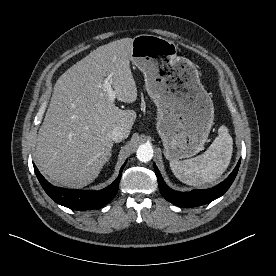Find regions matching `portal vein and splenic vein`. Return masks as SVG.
<instances>
[{"mask_svg":"<svg viewBox=\"0 0 276 276\" xmlns=\"http://www.w3.org/2000/svg\"><path fill=\"white\" fill-rule=\"evenodd\" d=\"M112 76L113 74H109L108 77L104 79L102 87L105 90V92H107L109 100L113 102L116 98V92L113 90L111 86Z\"/></svg>","mask_w":276,"mask_h":276,"instance_id":"obj_1","label":"portal vein and splenic vein"}]
</instances>
